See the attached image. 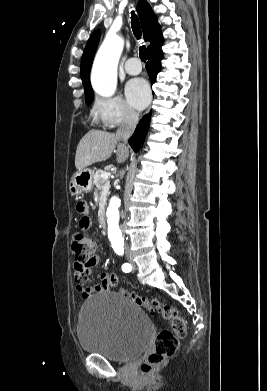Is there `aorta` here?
I'll use <instances>...</instances> for the list:
<instances>
[{
  "label": "aorta",
  "mask_w": 267,
  "mask_h": 391,
  "mask_svg": "<svg viewBox=\"0 0 267 391\" xmlns=\"http://www.w3.org/2000/svg\"><path fill=\"white\" fill-rule=\"evenodd\" d=\"M124 40L116 34H107L100 46L92 67L91 82L94 91L111 97L117 88V65L123 51ZM120 199L113 197L107 210L108 234L116 250H121L122 234L119 226Z\"/></svg>",
  "instance_id": "aorta-1"
}]
</instances>
